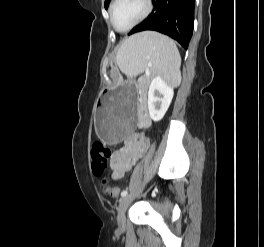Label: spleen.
<instances>
[{
  "label": "spleen",
  "instance_id": "3e777b00",
  "mask_svg": "<svg viewBox=\"0 0 264 247\" xmlns=\"http://www.w3.org/2000/svg\"><path fill=\"white\" fill-rule=\"evenodd\" d=\"M117 64L130 78L142 74L148 67L178 85L181 81V57L169 37L153 31L136 34L126 40L116 55Z\"/></svg>",
  "mask_w": 264,
  "mask_h": 247
}]
</instances>
